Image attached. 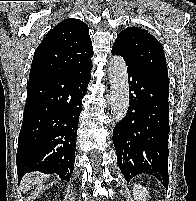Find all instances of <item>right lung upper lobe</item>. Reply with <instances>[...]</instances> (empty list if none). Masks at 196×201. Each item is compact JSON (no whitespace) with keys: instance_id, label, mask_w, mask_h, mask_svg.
Here are the masks:
<instances>
[{"instance_id":"right-lung-upper-lobe-1","label":"right lung upper lobe","mask_w":196,"mask_h":201,"mask_svg":"<svg viewBox=\"0 0 196 201\" xmlns=\"http://www.w3.org/2000/svg\"><path fill=\"white\" fill-rule=\"evenodd\" d=\"M93 54L88 26L78 19H66L37 47L29 81L81 70L92 64Z\"/></svg>"}]
</instances>
